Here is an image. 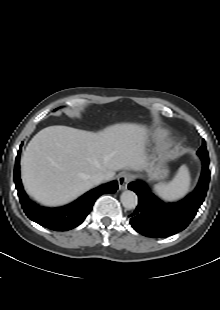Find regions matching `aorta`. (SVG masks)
<instances>
[{"mask_svg":"<svg viewBox=\"0 0 220 310\" xmlns=\"http://www.w3.org/2000/svg\"><path fill=\"white\" fill-rule=\"evenodd\" d=\"M120 199H121L122 205L128 210L134 209L138 204V197L131 190L124 191L121 194Z\"/></svg>","mask_w":220,"mask_h":310,"instance_id":"762f6f07","label":"aorta"}]
</instances>
